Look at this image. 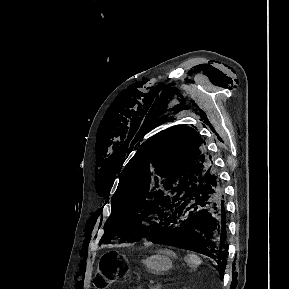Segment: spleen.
<instances>
[{
  "label": "spleen",
  "mask_w": 289,
  "mask_h": 289,
  "mask_svg": "<svg viewBox=\"0 0 289 289\" xmlns=\"http://www.w3.org/2000/svg\"><path fill=\"white\" fill-rule=\"evenodd\" d=\"M201 259L196 255V254H189L187 258V264L190 267H197L198 265L201 264Z\"/></svg>",
  "instance_id": "1"
}]
</instances>
